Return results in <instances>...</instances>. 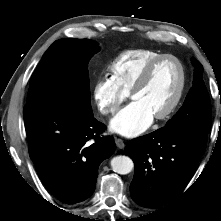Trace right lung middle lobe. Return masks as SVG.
<instances>
[{
    "label": "right lung middle lobe",
    "instance_id": "obj_1",
    "mask_svg": "<svg viewBox=\"0 0 221 221\" xmlns=\"http://www.w3.org/2000/svg\"><path fill=\"white\" fill-rule=\"evenodd\" d=\"M98 50V43L89 39L55 41L32 75L27 105L56 101L91 112L88 61Z\"/></svg>",
    "mask_w": 221,
    "mask_h": 221
}]
</instances>
